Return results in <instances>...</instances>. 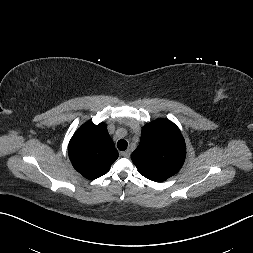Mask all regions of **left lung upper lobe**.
Masks as SVG:
<instances>
[{
  "instance_id": "obj_1",
  "label": "left lung upper lobe",
  "mask_w": 253,
  "mask_h": 253,
  "mask_svg": "<svg viewBox=\"0 0 253 253\" xmlns=\"http://www.w3.org/2000/svg\"><path fill=\"white\" fill-rule=\"evenodd\" d=\"M186 146L179 128L169 120L157 119L143 127L132 161L146 178L162 182L182 167Z\"/></svg>"
}]
</instances>
